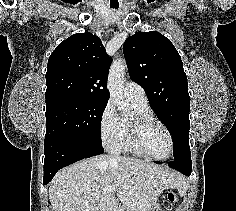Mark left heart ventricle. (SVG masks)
Masks as SVG:
<instances>
[{
    "label": "left heart ventricle",
    "instance_id": "1",
    "mask_svg": "<svg viewBox=\"0 0 236 211\" xmlns=\"http://www.w3.org/2000/svg\"><path fill=\"white\" fill-rule=\"evenodd\" d=\"M140 144L144 151L156 156L166 155L170 147L166 132L157 124H152L143 130Z\"/></svg>",
    "mask_w": 236,
    "mask_h": 211
}]
</instances>
